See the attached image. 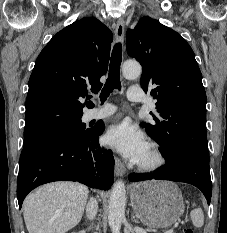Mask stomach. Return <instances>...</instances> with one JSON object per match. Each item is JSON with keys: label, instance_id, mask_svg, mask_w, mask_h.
<instances>
[{"label": "stomach", "instance_id": "obj_1", "mask_svg": "<svg viewBox=\"0 0 227 233\" xmlns=\"http://www.w3.org/2000/svg\"><path fill=\"white\" fill-rule=\"evenodd\" d=\"M130 197L139 220L151 228H164L176 223L184 212L178 186L167 181L142 182L132 186Z\"/></svg>", "mask_w": 227, "mask_h": 233}]
</instances>
